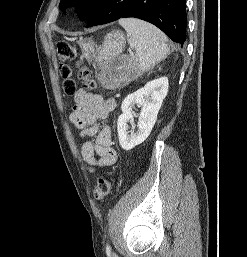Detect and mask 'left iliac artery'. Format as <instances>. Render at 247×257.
<instances>
[{"instance_id": "left-iliac-artery-1", "label": "left iliac artery", "mask_w": 247, "mask_h": 257, "mask_svg": "<svg viewBox=\"0 0 247 257\" xmlns=\"http://www.w3.org/2000/svg\"><path fill=\"white\" fill-rule=\"evenodd\" d=\"M106 249H107V252H110V247H109L108 244H107V246H106Z\"/></svg>"}]
</instances>
